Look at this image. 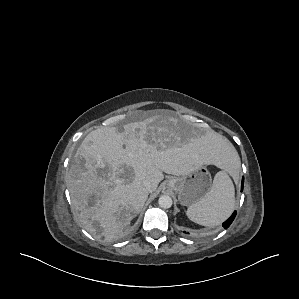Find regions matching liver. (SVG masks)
Instances as JSON below:
<instances>
[{"mask_svg":"<svg viewBox=\"0 0 299 299\" xmlns=\"http://www.w3.org/2000/svg\"><path fill=\"white\" fill-rule=\"evenodd\" d=\"M232 144L207 130L202 134L177 118L163 114L90 132L75 154L68 189L75 216L90 234L116 240L141 211L163 172L186 175L205 164L228 168L236 159Z\"/></svg>","mask_w":299,"mask_h":299,"instance_id":"liver-1","label":"liver"}]
</instances>
